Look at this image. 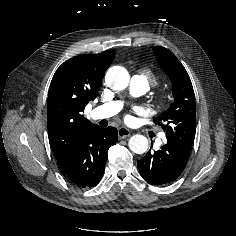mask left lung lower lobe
I'll list each match as a JSON object with an SVG mask.
<instances>
[{"label":"left lung lower lobe","instance_id":"obj_1","mask_svg":"<svg viewBox=\"0 0 236 236\" xmlns=\"http://www.w3.org/2000/svg\"><path fill=\"white\" fill-rule=\"evenodd\" d=\"M189 152L167 142L157 151L148 153L137 162L142 177L152 185H164L176 180L183 172Z\"/></svg>","mask_w":236,"mask_h":236}]
</instances>
